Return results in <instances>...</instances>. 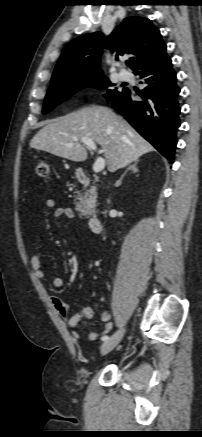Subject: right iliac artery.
Segmentation results:
<instances>
[{
  "label": "right iliac artery",
  "mask_w": 202,
  "mask_h": 437,
  "mask_svg": "<svg viewBox=\"0 0 202 437\" xmlns=\"http://www.w3.org/2000/svg\"><path fill=\"white\" fill-rule=\"evenodd\" d=\"M109 339V337L107 336V335H104L103 337H102V340L103 341H106V340H108Z\"/></svg>",
  "instance_id": "82829eb1"
}]
</instances>
